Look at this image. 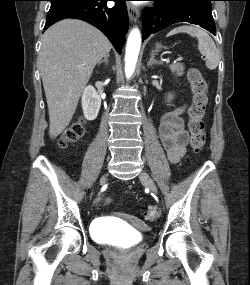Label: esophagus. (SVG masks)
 <instances>
[{
    "label": "esophagus",
    "instance_id": "esophagus-1",
    "mask_svg": "<svg viewBox=\"0 0 250 285\" xmlns=\"http://www.w3.org/2000/svg\"><path fill=\"white\" fill-rule=\"evenodd\" d=\"M127 10H128V15H129L130 20L134 22L138 21L139 16H140L138 8L134 7L131 4H128Z\"/></svg>",
    "mask_w": 250,
    "mask_h": 285
}]
</instances>
